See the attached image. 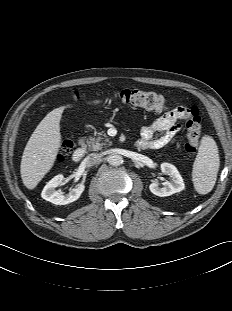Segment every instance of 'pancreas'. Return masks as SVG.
<instances>
[{
	"label": "pancreas",
	"mask_w": 232,
	"mask_h": 311,
	"mask_svg": "<svg viewBox=\"0 0 232 311\" xmlns=\"http://www.w3.org/2000/svg\"><path fill=\"white\" fill-rule=\"evenodd\" d=\"M111 146L112 142L109 141L106 134L103 132L97 133V136L89 137L87 140V147L90 151L101 150L104 146Z\"/></svg>",
	"instance_id": "cf45deb5"
}]
</instances>
